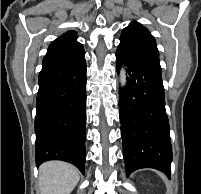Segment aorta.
Returning a JSON list of instances; mask_svg holds the SVG:
<instances>
[{
	"label": "aorta",
	"instance_id": "1",
	"mask_svg": "<svg viewBox=\"0 0 201 194\" xmlns=\"http://www.w3.org/2000/svg\"><path fill=\"white\" fill-rule=\"evenodd\" d=\"M119 81H120L121 87L124 88L126 86V83H127L126 70H125L124 67H122L120 69V72H119Z\"/></svg>",
	"mask_w": 201,
	"mask_h": 194
}]
</instances>
